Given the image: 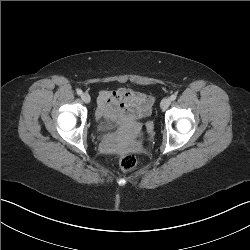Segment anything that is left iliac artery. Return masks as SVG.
I'll use <instances>...</instances> for the list:
<instances>
[{
  "mask_svg": "<svg viewBox=\"0 0 250 250\" xmlns=\"http://www.w3.org/2000/svg\"><path fill=\"white\" fill-rule=\"evenodd\" d=\"M176 95L175 94H173V95H171V97H170V99L172 100V101H174L175 99H176Z\"/></svg>",
  "mask_w": 250,
  "mask_h": 250,
  "instance_id": "44dca946",
  "label": "left iliac artery"
}]
</instances>
